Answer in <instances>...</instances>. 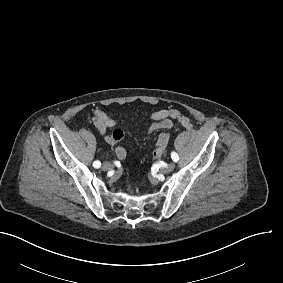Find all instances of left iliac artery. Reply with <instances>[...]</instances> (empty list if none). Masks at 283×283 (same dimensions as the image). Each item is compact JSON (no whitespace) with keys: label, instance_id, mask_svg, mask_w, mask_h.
I'll return each mask as SVG.
<instances>
[{"label":"left iliac artery","instance_id":"1","mask_svg":"<svg viewBox=\"0 0 283 283\" xmlns=\"http://www.w3.org/2000/svg\"><path fill=\"white\" fill-rule=\"evenodd\" d=\"M171 158L174 162H177L179 160V156L176 152L171 153Z\"/></svg>","mask_w":283,"mask_h":283}]
</instances>
